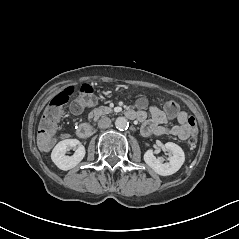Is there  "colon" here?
<instances>
[{
    "instance_id": "obj_1",
    "label": "colon",
    "mask_w": 239,
    "mask_h": 239,
    "mask_svg": "<svg viewBox=\"0 0 239 239\" xmlns=\"http://www.w3.org/2000/svg\"><path fill=\"white\" fill-rule=\"evenodd\" d=\"M74 93V87H67L58 94H56L49 105L45 109L39 131V140L43 145H48L54 134L56 123L61 115L62 108L67 104L70 96ZM95 102L94 90L88 84H83L79 87L78 97L74 101L72 108L75 112H81L84 109L92 106ZM165 111L169 116H174L179 111V105L173 101H167L165 104ZM188 125L192 128V136L188 141L190 148H195L197 139L195 136L196 132V120L190 116L188 118Z\"/></svg>"
}]
</instances>
